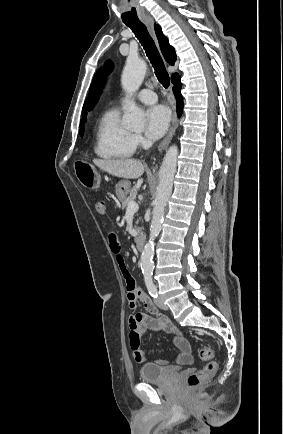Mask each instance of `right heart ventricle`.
I'll list each match as a JSON object with an SVG mask.
<instances>
[{"mask_svg": "<svg viewBox=\"0 0 283 434\" xmlns=\"http://www.w3.org/2000/svg\"><path fill=\"white\" fill-rule=\"evenodd\" d=\"M133 134L120 122L116 108L107 110L99 120L95 133L94 152L103 159H127L135 151Z\"/></svg>", "mask_w": 283, "mask_h": 434, "instance_id": "e07e8e85", "label": "right heart ventricle"}]
</instances>
